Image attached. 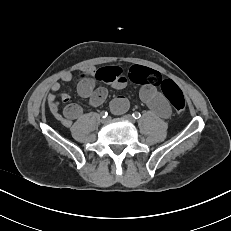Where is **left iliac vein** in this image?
Returning a JSON list of instances; mask_svg holds the SVG:
<instances>
[{"label":"left iliac vein","instance_id":"1","mask_svg":"<svg viewBox=\"0 0 231 231\" xmlns=\"http://www.w3.org/2000/svg\"><path fill=\"white\" fill-rule=\"evenodd\" d=\"M124 119H126V120H128V121H130L131 123H134L135 122V120H134V118L132 117V115H125L124 116Z\"/></svg>","mask_w":231,"mask_h":231}]
</instances>
